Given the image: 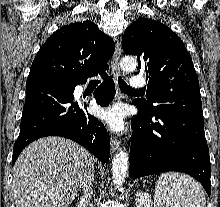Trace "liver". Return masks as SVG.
Listing matches in <instances>:
<instances>
[{
    "mask_svg": "<svg viewBox=\"0 0 220 207\" xmlns=\"http://www.w3.org/2000/svg\"><path fill=\"white\" fill-rule=\"evenodd\" d=\"M93 167V156L71 140L46 137L32 142L13 167L16 207H69Z\"/></svg>",
    "mask_w": 220,
    "mask_h": 207,
    "instance_id": "obj_1",
    "label": "liver"
}]
</instances>
